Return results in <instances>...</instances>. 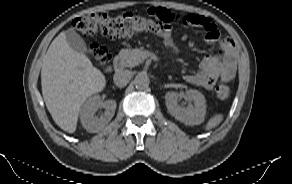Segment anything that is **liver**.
<instances>
[{
    "label": "liver",
    "instance_id": "6515ba94",
    "mask_svg": "<svg viewBox=\"0 0 292 184\" xmlns=\"http://www.w3.org/2000/svg\"><path fill=\"white\" fill-rule=\"evenodd\" d=\"M105 85L103 73L84 54L73 50L61 32L50 44L41 69L43 98L55 123L74 133L81 106Z\"/></svg>",
    "mask_w": 292,
    "mask_h": 184
}]
</instances>
